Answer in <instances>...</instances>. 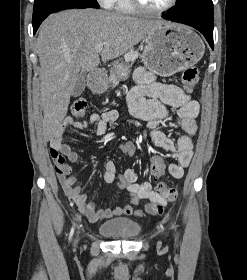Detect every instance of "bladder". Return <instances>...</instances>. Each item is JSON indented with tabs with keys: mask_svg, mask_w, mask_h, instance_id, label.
<instances>
[{
	"mask_svg": "<svg viewBox=\"0 0 247 280\" xmlns=\"http://www.w3.org/2000/svg\"><path fill=\"white\" fill-rule=\"evenodd\" d=\"M101 235L112 239H134L141 232V225L133 220L116 218L99 225Z\"/></svg>",
	"mask_w": 247,
	"mask_h": 280,
	"instance_id": "obj_1",
	"label": "bladder"
}]
</instances>
